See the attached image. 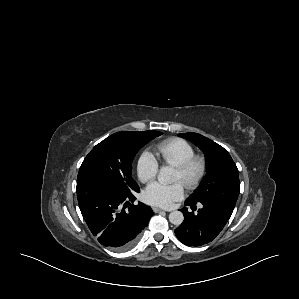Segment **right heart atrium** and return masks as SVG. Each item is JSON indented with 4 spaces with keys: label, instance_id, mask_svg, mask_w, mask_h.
Masks as SVG:
<instances>
[{
    "label": "right heart atrium",
    "instance_id": "right-heart-atrium-1",
    "mask_svg": "<svg viewBox=\"0 0 299 299\" xmlns=\"http://www.w3.org/2000/svg\"><path fill=\"white\" fill-rule=\"evenodd\" d=\"M159 170L157 159L148 151L142 152L137 160L136 171L140 181L146 183L153 180Z\"/></svg>",
    "mask_w": 299,
    "mask_h": 299
}]
</instances>
